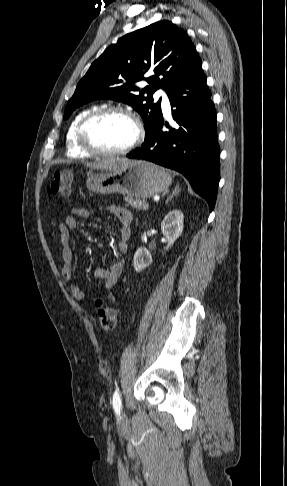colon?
Here are the masks:
<instances>
[{"instance_id": "5ec220e1", "label": "colon", "mask_w": 287, "mask_h": 486, "mask_svg": "<svg viewBox=\"0 0 287 486\" xmlns=\"http://www.w3.org/2000/svg\"><path fill=\"white\" fill-rule=\"evenodd\" d=\"M72 177L67 171H56L51 178L47 191L50 195L67 196L71 191ZM97 318L104 332L113 330L117 322V312L114 307L97 299L95 302Z\"/></svg>"}]
</instances>
